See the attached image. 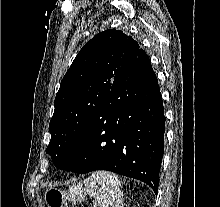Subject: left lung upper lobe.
Instances as JSON below:
<instances>
[{"instance_id":"5c2ea615","label":"left lung upper lobe","mask_w":220,"mask_h":207,"mask_svg":"<svg viewBox=\"0 0 220 207\" xmlns=\"http://www.w3.org/2000/svg\"><path fill=\"white\" fill-rule=\"evenodd\" d=\"M139 48L131 36L110 29L79 51L60 83L49 123L51 140L46 153L55 165L88 129Z\"/></svg>"}]
</instances>
